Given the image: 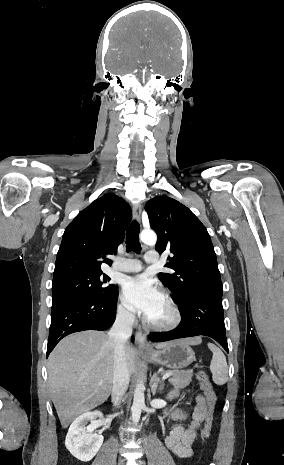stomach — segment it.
I'll return each instance as SVG.
<instances>
[{
	"label": "stomach",
	"instance_id": "stomach-1",
	"mask_svg": "<svg viewBox=\"0 0 284 465\" xmlns=\"http://www.w3.org/2000/svg\"><path fill=\"white\" fill-rule=\"evenodd\" d=\"M155 365H165L169 369H184L195 361V353L184 341H170L162 351H150L142 355Z\"/></svg>",
	"mask_w": 284,
	"mask_h": 465
}]
</instances>
